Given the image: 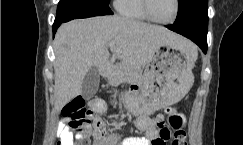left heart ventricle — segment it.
<instances>
[{
    "label": "left heart ventricle",
    "instance_id": "1",
    "mask_svg": "<svg viewBox=\"0 0 243 145\" xmlns=\"http://www.w3.org/2000/svg\"><path fill=\"white\" fill-rule=\"evenodd\" d=\"M150 9L157 20L169 21L173 17L175 3L174 0H150Z\"/></svg>",
    "mask_w": 243,
    "mask_h": 145
}]
</instances>
